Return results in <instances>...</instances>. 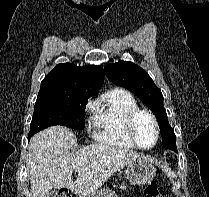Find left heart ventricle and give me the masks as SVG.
Listing matches in <instances>:
<instances>
[{"instance_id": "1", "label": "left heart ventricle", "mask_w": 209, "mask_h": 197, "mask_svg": "<svg viewBox=\"0 0 209 197\" xmlns=\"http://www.w3.org/2000/svg\"><path fill=\"white\" fill-rule=\"evenodd\" d=\"M135 134L139 144L144 147H149L154 143L155 129L148 116L142 114L137 118Z\"/></svg>"}]
</instances>
